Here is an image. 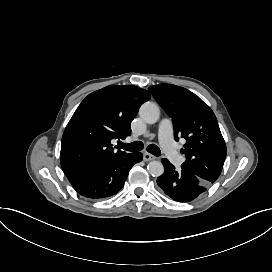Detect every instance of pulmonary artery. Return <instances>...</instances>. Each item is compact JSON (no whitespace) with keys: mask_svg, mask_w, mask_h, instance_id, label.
<instances>
[{"mask_svg":"<svg viewBox=\"0 0 272 272\" xmlns=\"http://www.w3.org/2000/svg\"><path fill=\"white\" fill-rule=\"evenodd\" d=\"M158 137L162 152L167 154L175 165L179 167L184 166V159H182L178 152H176V146L172 137V122L170 120H164L161 122Z\"/></svg>","mask_w":272,"mask_h":272,"instance_id":"pulmonary-artery-1","label":"pulmonary artery"}]
</instances>
